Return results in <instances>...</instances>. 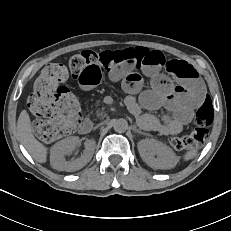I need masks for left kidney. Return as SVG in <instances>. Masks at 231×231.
Returning <instances> with one entry per match:
<instances>
[{
  "label": "left kidney",
  "instance_id": "1",
  "mask_svg": "<svg viewBox=\"0 0 231 231\" xmlns=\"http://www.w3.org/2000/svg\"><path fill=\"white\" fill-rule=\"evenodd\" d=\"M138 151L153 169H171L176 166L178 158L173 150L155 139H143L138 143Z\"/></svg>",
  "mask_w": 231,
  "mask_h": 231
}]
</instances>
